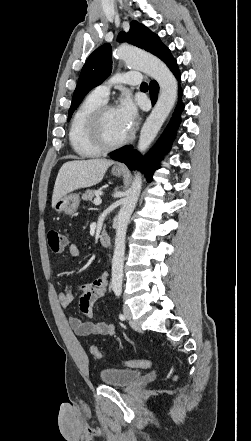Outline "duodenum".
<instances>
[{
  "mask_svg": "<svg viewBox=\"0 0 251 441\" xmlns=\"http://www.w3.org/2000/svg\"><path fill=\"white\" fill-rule=\"evenodd\" d=\"M99 241L103 247H108L111 244V237L108 234L103 233L100 235Z\"/></svg>",
  "mask_w": 251,
  "mask_h": 441,
  "instance_id": "duodenum-1",
  "label": "duodenum"
}]
</instances>
